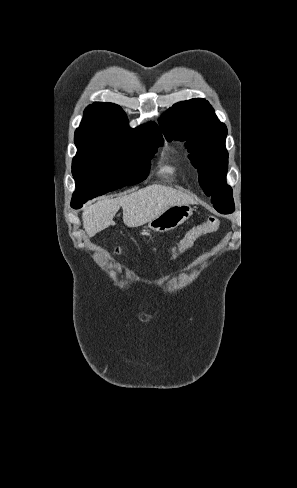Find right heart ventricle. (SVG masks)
I'll use <instances>...</instances> for the list:
<instances>
[{"instance_id": "obj_1", "label": "right heart ventricle", "mask_w": 297, "mask_h": 488, "mask_svg": "<svg viewBox=\"0 0 297 488\" xmlns=\"http://www.w3.org/2000/svg\"><path fill=\"white\" fill-rule=\"evenodd\" d=\"M171 158L172 156L170 151H166L163 154V163L160 168L161 174H164L166 176H173L176 173L177 167L173 162L170 161Z\"/></svg>"}]
</instances>
